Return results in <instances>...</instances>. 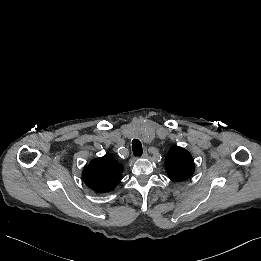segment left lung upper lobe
<instances>
[{
    "mask_svg": "<svg viewBox=\"0 0 261 261\" xmlns=\"http://www.w3.org/2000/svg\"><path fill=\"white\" fill-rule=\"evenodd\" d=\"M165 167L169 178L179 182L190 178L195 170L192 155L178 146L170 148L165 158Z\"/></svg>",
    "mask_w": 261,
    "mask_h": 261,
    "instance_id": "5c2ea615",
    "label": "left lung upper lobe"
}]
</instances>
